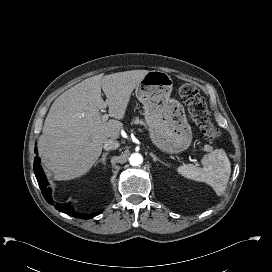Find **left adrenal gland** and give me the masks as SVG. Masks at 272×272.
<instances>
[{
	"instance_id": "1",
	"label": "left adrenal gland",
	"mask_w": 272,
	"mask_h": 272,
	"mask_svg": "<svg viewBox=\"0 0 272 272\" xmlns=\"http://www.w3.org/2000/svg\"><path fill=\"white\" fill-rule=\"evenodd\" d=\"M150 156L153 158V161L156 162H160L162 164H164L165 166H169V164L165 163L164 161L160 160L155 154H153L152 152H150Z\"/></svg>"
}]
</instances>
